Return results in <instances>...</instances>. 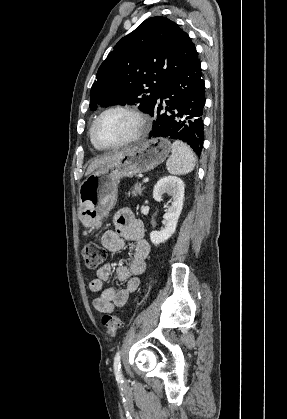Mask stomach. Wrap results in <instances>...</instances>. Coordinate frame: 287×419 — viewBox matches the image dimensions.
Listing matches in <instances>:
<instances>
[{
	"mask_svg": "<svg viewBox=\"0 0 287 419\" xmlns=\"http://www.w3.org/2000/svg\"><path fill=\"white\" fill-rule=\"evenodd\" d=\"M170 151L169 140L153 138L97 168L79 187L80 217L92 226L99 224L116 203L120 179L154 169Z\"/></svg>",
	"mask_w": 287,
	"mask_h": 419,
	"instance_id": "1",
	"label": "stomach"
}]
</instances>
